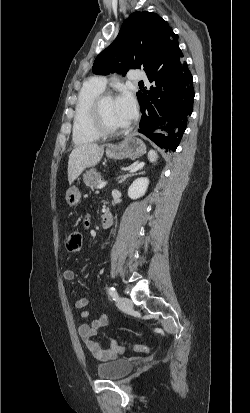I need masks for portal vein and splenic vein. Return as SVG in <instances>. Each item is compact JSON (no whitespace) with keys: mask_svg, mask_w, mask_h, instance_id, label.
<instances>
[{"mask_svg":"<svg viewBox=\"0 0 250 413\" xmlns=\"http://www.w3.org/2000/svg\"><path fill=\"white\" fill-rule=\"evenodd\" d=\"M106 184H107L106 181H100V182L98 183V185H97V188H98V189H102L103 187L106 186Z\"/></svg>","mask_w":250,"mask_h":413,"instance_id":"1","label":"portal vein and splenic vein"}]
</instances>
